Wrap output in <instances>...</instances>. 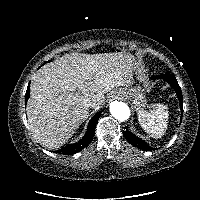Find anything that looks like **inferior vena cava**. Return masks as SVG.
Returning a JSON list of instances; mask_svg holds the SVG:
<instances>
[{
	"label": "inferior vena cava",
	"mask_w": 200,
	"mask_h": 200,
	"mask_svg": "<svg viewBox=\"0 0 200 200\" xmlns=\"http://www.w3.org/2000/svg\"><path fill=\"white\" fill-rule=\"evenodd\" d=\"M82 106L84 108H86V109L92 107L93 106V102H92L91 98H85V99H83Z\"/></svg>",
	"instance_id": "inferior-vena-cava-1"
}]
</instances>
